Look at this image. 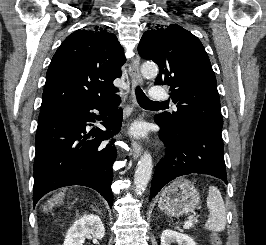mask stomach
<instances>
[{"label": "stomach", "instance_id": "stomach-1", "mask_svg": "<svg viewBox=\"0 0 266 245\" xmlns=\"http://www.w3.org/2000/svg\"><path fill=\"white\" fill-rule=\"evenodd\" d=\"M198 205H200V195L194 185H190L188 181L169 187L167 193L160 199L161 211L170 217L194 213Z\"/></svg>", "mask_w": 266, "mask_h": 245}]
</instances>
